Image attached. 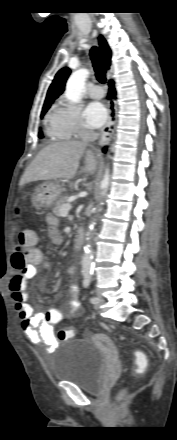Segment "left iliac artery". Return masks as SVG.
I'll return each instance as SVG.
<instances>
[{
  "label": "left iliac artery",
  "mask_w": 177,
  "mask_h": 440,
  "mask_svg": "<svg viewBox=\"0 0 177 440\" xmlns=\"http://www.w3.org/2000/svg\"><path fill=\"white\" fill-rule=\"evenodd\" d=\"M90 282H91V276L90 275H85L84 276V280H83V286L85 287V288H87L89 285H90ZM99 301V299L97 298V297H92V298H90V302L92 303V304H95V303H97Z\"/></svg>",
  "instance_id": "obj_1"
}]
</instances>
